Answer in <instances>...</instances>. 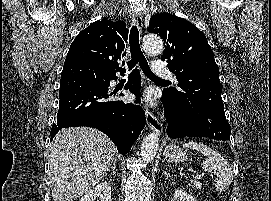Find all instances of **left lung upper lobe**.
<instances>
[{
    "mask_svg": "<svg viewBox=\"0 0 271 201\" xmlns=\"http://www.w3.org/2000/svg\"><path fill=\"white\" fill-rule=\"evenodd\" d=\"M147 30L160 35L166 43L161 60H167L179 89L164 91L181 115L207 137L228 140L231 129L221 98L219 68L205 35L189 21L169 13L152 16Z\"/></svg>",
    "mask_w": 271,
    "mask_h": 201,
    "instance_id": "5c2ea615",
    "label": "left lung upper lobe"
}]
</instances>
